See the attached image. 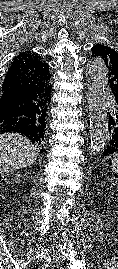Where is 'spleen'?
Segmentation results:
<instances>
[{
  "label": "spleen",
  "instance_id": "obj_1",
  "mask_svg": "<svg viewBox=\"0 0 118 269\" xmlns=\"http://www.w3.org/2000/svg\"><path fill=\"white\" fill-rule=\"evenodd\" d=\"M112 167L114 172L118 174V154H116L114 159L112 160Z\"/></svg>",
  "mask_w": 118,
  "mask_h": 269
}]
</instances>
